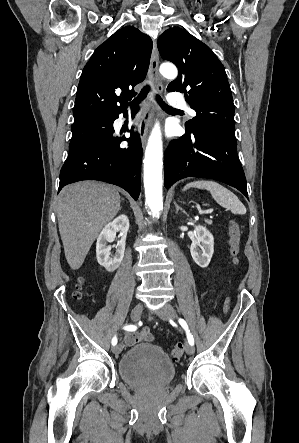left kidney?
Instances as JSON below:
<instances>
[{
    "label": "left kidney",
    "mask_w": 299,
    "mask_h": 443,
    "mask_svg": "<svg viewBox=\"0 0 299 443\" xmlns=\"http://www.w3.org/2000/svg\"><path fill=\"white\" fill-rule=\"evenodd\" d=\"M196 238L192 241L190 252L195 263L206 268L214 253L213 235L203 226H196Z\"/></svg>",
    "instance_id": "1"
}]
</instances>
